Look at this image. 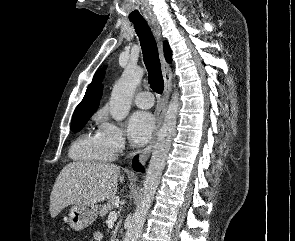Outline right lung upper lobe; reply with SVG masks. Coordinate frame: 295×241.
Segmentation results:
<instances>
[{
	"mask_svg": "<svg viewBox=\"0 0 295 241\" xmlns=\"http://www.w3.org/2000/svg\"><path fill=\"white\" fill-rule=\"evenodd\" d=\"M164 54L166 61L170 63L172 61V51L168 42H164ZM104 76V69L97 71L93 77L92 82L89 84L85 96L80 104L76 107L74 114L82 113H94L98 108L100 98L102 96L101 82Z\"/></svg>",
	"mask_w": 295,
	"mask_h": 241,
	"instance_id": "obj_1",
	"label": "right lung upper lobe"
}]
</instances>
